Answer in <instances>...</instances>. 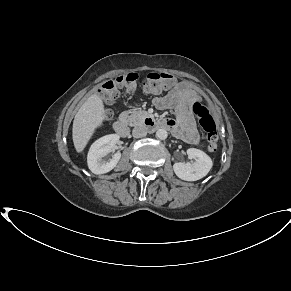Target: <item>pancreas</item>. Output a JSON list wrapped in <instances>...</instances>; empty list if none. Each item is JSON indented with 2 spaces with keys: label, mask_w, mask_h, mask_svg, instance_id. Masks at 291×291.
I'll return each mask as SVG.
<instances>
[{
  "label": "pancreas",
  "mask_w": 291,
  "mask_h": 291,
  "mask_svg": "<svg viewBox=\"0 0 291 291\" xmlns=\"http://www.w3.org/2000/svg\"><path fill=\"white\" fill-rule=\"evenodd\" d=\"M123 114L127 116V120L130 126H137L141 124L144 121V119L149 116L148 112L142 109L125 111Z\"/></svg>",
  "instance_id": "1"
}]
</instances>
